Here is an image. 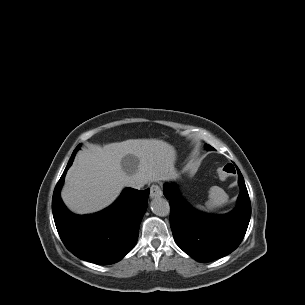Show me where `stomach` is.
<instances>
[{"instance_id":"obj_1","label":"stomach","mask_w":305,"mask_h":305,"mask_svg":"<svg viewBox=\"0 0 305 305\" xmlns=\"http://www.w3.org/2000/svg\"><path fill=\"white\" fill-rule=\"evenodd\" d=\"M180 179L179 173L174 169L171 181L177 182Z\"/></svg>"}]
</instances>
